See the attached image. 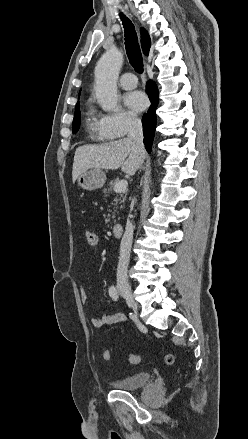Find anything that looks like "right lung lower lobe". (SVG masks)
<instances>
[{
  "instance_id": "obj_1",
  "label": "right lung lower lobe",
  "mask_w": 248,
  "mask_h": 439,
  "mask_svg": "<svg viewBox=\"0 0 248 439\" xmlns=\"http://www.w3.org/2000/svg\"><path fill=\"white\" fill-rule=\"evenodd\" d=\"M147 94L151 101V106L147 113L142 117V125L144 132V145L148 152L151 151L155 127H156V109L158 106V89L153 81H149L146 86Z\"/></svg>"
}]
</instances>
